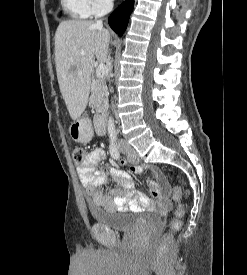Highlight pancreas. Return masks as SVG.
<instances>
[{"instance_id":"cf45deb5","label":"pancreas","mask_w":247,"mask_h":275,"mask_svg":"<svg viewBox=\"0 0 247 275\" xmlns=\"http://www.w3.org/2000/svg\"><path fill=\"white\" fill-rule=\"evenodd\" d=\"M89 104L97 113H104L108 107V91L104 78L97 79L92 85Z\"/></svg>"}]
</instances>
